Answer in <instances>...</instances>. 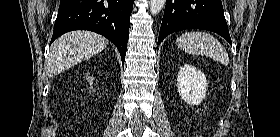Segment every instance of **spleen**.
<instances>
[{"label": "spleen", "mask_w": 280, "mask_h": 137, "mask_svg": "<svg viewBox=\"0 0 280 137\" xmlns=\"http://www.w3.org/2000/svg\"><path fill=\"white\" fill-rule=\"evenodd\" d=\"M177 46L187 53L206 55L215 61L229 64V56L222 44L205 32H187L176 39Z\"/></svg>", "instance_id": "3e777b00"}]
</instances>
